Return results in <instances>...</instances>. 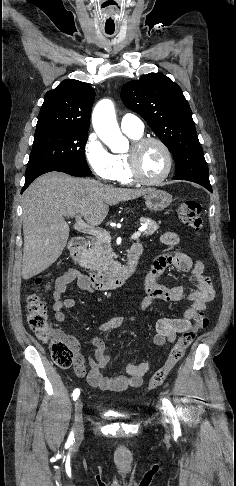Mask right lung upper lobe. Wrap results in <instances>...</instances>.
<instances>
[{"label": "right lung upper lobe", "instance_id": "1", "mask_svg": "<svg viewBox=\"0 0 236 486\" xmlns=\"http://www.w3.org/2000/svg\"><path fill=\"white\" fill-rule=\"evenodd\" d=\"M95 91L74 79L62 81L44 96L37 128H62L88 131Z\"/></svg>", "mask_w": 236, "mask_h": 486}]
</instances>
